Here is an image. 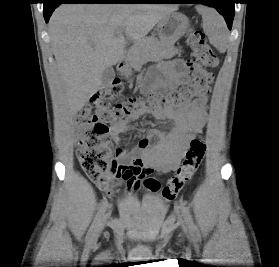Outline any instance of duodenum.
Wrapping results in <instances>:
<instances>
[{
  "label": "duodenum",
  "mask_w": 279,
  "mask_h": 267,
  "mask_svg": "<svg viewBox=\"0 0 279 267\" xmlns=\"http://www.w3.org/2000/svg\"><path fill=\"white\" fill-rule=\"evenodd\" d=\"M117 68L123 74H127L129 72V60L126 55H123V57L120 58L117 64Z\"/></svg>",
  "instance_id": "obj_1"
}]
</instances>
